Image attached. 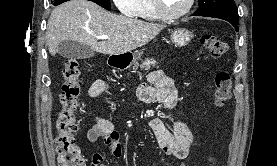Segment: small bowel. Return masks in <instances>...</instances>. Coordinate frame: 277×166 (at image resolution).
<instances>
[{
  "label": "small bowel",
  "mask_w": 277,
  "mask_h": 166,
  "mask_svg": "<svg viewBox=\"0 0 277 166\" xmlns=\"http://www.w3.org/2000/svg\"><path fill=\"white\" fill-rule=\"evenodd\" d=\"M148 84L139 90V98L145 103H162L166 108H174L178 102V91L171 78L161 70H155L148 76ZM107 90V84L97 79L89 88L90 97L97 99ZM149 126L154 133L157 144L163 153L177 161V166H185L182 161L187 158L193 143V134L189 126L183 122H176L173 129H169L160 118H153ZM100 138L105 140L115 157H121L122 148L119 134L111 121L96 116L95 124L88 130L86 139L88 144H95ZM103 156L96 152L92 155V166H104Z\"/></svg>",
  "instance_id": "obj_1"
}]
</instances>
